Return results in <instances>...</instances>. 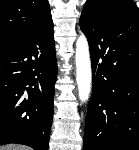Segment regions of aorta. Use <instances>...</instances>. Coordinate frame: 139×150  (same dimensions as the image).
I'll list each match as a JSON object with an SVG mask.
<instances>
[{"label": "aorta", "instance_id": "1", "mask_svg": "<svg viewBox=\"0 0 139 150\" xmlns=\"http://www.w3.org/2000/svg\"><path fill=\"white\" fill-rule=\"evenodd\" d=\"M75 64L79 99L86 102L92 89V71L89 45L84 34H81L76 41Z\"/></svg>", "mask_w": 139, "mask_h": 150}]
</instances>
